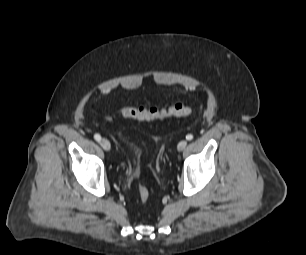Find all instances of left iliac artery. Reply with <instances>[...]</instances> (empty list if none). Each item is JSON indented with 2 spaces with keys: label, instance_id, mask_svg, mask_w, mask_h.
<instances>
[{
  "label": "left iliac artery",
  "instance_id": "44dca946",
  "mask_svg": "<svg viewBox=\"0 0 306 255\" xmlns=\"http://www.w3.org/2000/svg\"><path fill=\"white\" fill-rule=\"evenodd\" d=\"M193 139V135L192 134H188L186 136V140L191 141Z\"/></svg>",
  "mask_w": 306,
  "mask_h": 255
}]
</instances>
